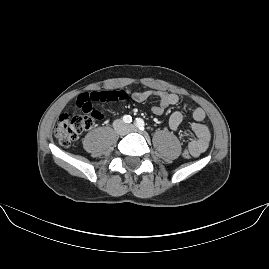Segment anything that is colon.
<instances>
[{"label": "colon", "instance_id": "1", "mask_svg": "<svg viewBox=\"0 0 269 269\" xmlns=\"http://www.w3.org/2000/svg\"><path fill=\"white\" fill-rule=\"evenodd\" d=\"M127 92L107 89L101 92H82L78 97V107L83 114L62 113L55 126L54 134L61 144L73 143L83 132L95 127L100 119V113L94 103L104 100H129ZM182 158L189 159L190 152L182 150Z\"/></svg>", "mask_w": 269, "mask_h": 269}]
</instances>
